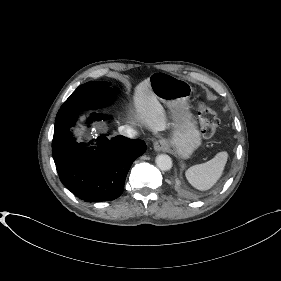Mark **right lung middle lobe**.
<instances>
[{"instance_id": "right-lung-middle-lobe-1", "label": "right lung middle lobe", "mask_w": 281, "mask_h": 281, "mask_svg": "<svg viewBox=\"0 0 281 281\" xmlns=\"http://www.w3.org/2000/svg\"><path fill=\"white\" fill-rule=\"evenodd\" d=\"M114 98V90L107 82H88L79 86L59 109L55 122L81 110L107 106Z\"/></svg>"}]
</instances>
